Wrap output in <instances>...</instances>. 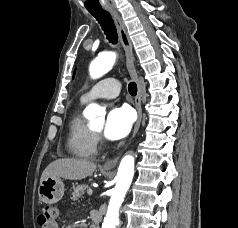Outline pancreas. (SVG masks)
<instances>
[{"label":"pancreas","instance_id":"1","mask_svg":"<svg viewBox=\"0 0 238 228\" xmlns=\"http://www.w3.org/2000/svg\"><path fill=\"white\" fill-rule=\"evenodd\" d=\"M88 190H90L88 185L86 184L78 185L76 188H74V191L72 193L73 195L72 199L78 200L85 193V191H88Z\"/></svg>","mask_w":238,"mask_h":228}]
</instances>
